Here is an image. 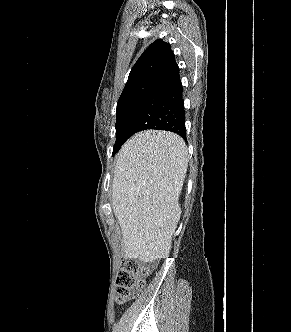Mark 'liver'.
<instances>
[{
	"label": "liver",
	"instance_id": "6515ba94",
	"mask_svg": "<svg viewBox=\"0 0 291 332\" xmlns=\"http://www.w3.org/2000/svg\"><path fill=\"white\" fill-rule=\"evenodd\" d=\"M188 159L184 140L166 131L139 132L119 150L112 208L125 258L152 262L168 257L181 216L178 199Z\"/></svg>",
	"mask_w": 291,
	"mask_h": 332
}]
</instances>
